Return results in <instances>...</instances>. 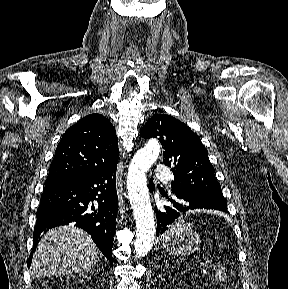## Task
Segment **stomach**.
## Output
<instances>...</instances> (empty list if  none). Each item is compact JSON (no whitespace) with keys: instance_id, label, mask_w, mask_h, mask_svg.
<instances>
[{"instance_id":"obj_1","label":"stomach","mask_w":288,"mask_h":289,"mask_svg":"<svg viewBox=\"0 0 288 289\" xmlns=\"http://www.w3.org/2000/svg\"><path fill=\"white\" fill-rule=\"evenodd\" d=\"M200 243V236L196 232L189 230L169 241H164L163 246L170 254L187 255L198 250Z\"/></svg>"}]
</instances>
